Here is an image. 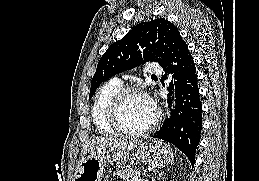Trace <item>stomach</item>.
I'll list each match as a JSON object with an SVG mask.
<instances>
[{
  "label": "stomach",
  "instance_id": "obj_1",
  "mask_svg": "<svg viewBox=\"0 0 259 181\" xmlns=\"http://www.w3.org/2000/svg\"><path fill=\"white\" fill-rule=\"evenodd\" d=\"M126 152L95 151L86 153L79 161L75 181H101L108 164H124L132 160ZM135 158L150 168L163 167L173 161L171 148L159 140L144 142Z\"/></svg>",
  "mask_w": 259,
  "mask_h": 181
}]
</instances>
